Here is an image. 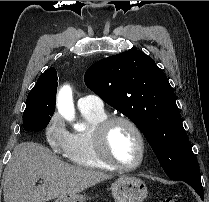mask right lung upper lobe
Listing matches in <instances>:
<instances>
[{"instance_id":"cb5924a9","label":"right lung upper lobe","mask_w":209,"mask_h":202,"mask_svg":"<svg viewBox=\"0 0 209 202\" xmlns=\"http://www.w3.org/2000/svg\"><path fill=\"white\" fill-rule=\"evenodd\" d=\"M49 82L52 83L57 90V72L54 68L47 69L38 79L37 84ZM55 101H56V94H55Z\"/></svg>"}]
</instances>
